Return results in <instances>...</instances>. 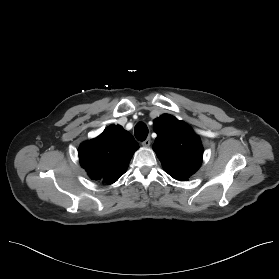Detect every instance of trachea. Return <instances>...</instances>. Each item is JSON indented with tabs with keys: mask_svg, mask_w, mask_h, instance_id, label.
<instances>
[{
	"mask_svg": "<svg viewBox=\"0 0 279 279\" xmlns=\"http://www.w3.org/2000/svg\"><path fill=\"white\" fill-rule=\"evenodd\" d=\"M134 132L137 140L139 141H144L148 136V128L143 122L136 124Z\"/></svg>",
	"mask_w": 279,
	"mask_h": 279,
	"instance_id": "3493384b",
	"label": "trachea"
}]
</instances>
